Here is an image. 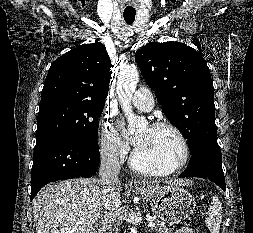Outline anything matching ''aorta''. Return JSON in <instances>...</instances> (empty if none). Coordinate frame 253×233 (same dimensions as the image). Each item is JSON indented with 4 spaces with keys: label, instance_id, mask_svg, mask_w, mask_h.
<instances>
[{
    "label": "aorta",
    "instance_id": "762f6f07",
    "mask_svg": "<svg viewBox=\"0 0 253 233\" xmlns=\"http://www.w3.org/2000/svg\"><path fill=\"white\" fill-rule=\"evenodd\" d=\"M138 81L139 73L135 66L120 69L116 91L121 107L126 115L130 133H134L146 125V120L136 116L131 107V97L136 90ZM130 233H137L136 228L132 227Z\"/></svg>",
    "mask_w": 253,
    "mask_h": 233
}]
</instances>
